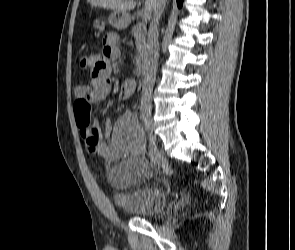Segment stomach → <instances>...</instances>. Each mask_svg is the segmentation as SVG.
I'll use <instances>...</instances> for the list:
<instances>
[{
  "label": "stomach",
  "mask_w": 295,
  "mask_h": 250,
  "mask_svg": "<svg viewBox=\"0 0 295 250\" xmlns=\"http://www.w3.org/2000/svg\"><path fill=\"white\" fill-rule=\"evenodd\" d=\"M108 20L113 27L117 29H124L129 23V16L126 12L113 11L110 14ZM97 24L102 29L104 23L102 21H99Z\"/></svg>",
  "instance_id": "1"
}]
</instances>
